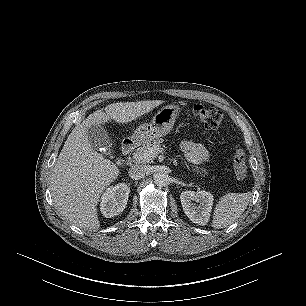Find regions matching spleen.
I'll return each instance as SVG.
<instances>
[{
	"instance_id": "1",
	"label": "spleen",
	"mask_w": 306,
	"mask_h": 306,
	"mask_svg": "<svg viewBox=\"0 0 306 306\" xmlns=\"http://www.w3.org/2000/svg\"><path fill=\"white\" fill-rule=\"evenodd\" d=\"M251 198V192L224 195L214 209L212 227L221 229L234 223L245 211Z\"/></svg>"
}]
</instances>
